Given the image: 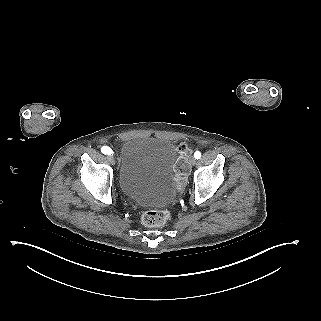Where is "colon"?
<instances>
[{
	"label": "colon",
	"mask_w": 321,
	"mask_h": 321,
	"mask_svg": "<svg viewBox=\"0 0 321 321\" xmlns=\"http://www.w3.org/2000/svg\"><path fill=\"white\" fill-rule=\"evenodd\" d=\"M180 156L176 164V171L181 182H184L185 177L189 172L188 165V148L185 144H181L178 148ZM169 218V212L167 210H150L146 211L142 215V222L149 227L162 226Z\"/></svg>",
	"instance_id": "obj_1"
}]
</instances>
